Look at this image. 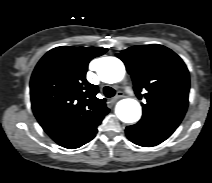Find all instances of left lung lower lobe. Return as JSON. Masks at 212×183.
Instances as JSON below:
<instances>
[{
	"label": "left lung lower lobe",
	"instance_id": "0a47b994",
	"mask_svg": "<svg viewBox=\"0 0 212 183\" xmlns=\"http://www.w3.org/2000/svg\"><path fill=\"white\" fill-rule=\"evenodd\" d=\"M125 131L133 143L152 147L166 140L175 128L141 119L137 124L128 126Z\"/></svg>",
	"mask_w": 212,
	"mask_h": 183
}]
</instances>
